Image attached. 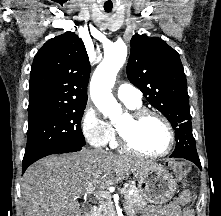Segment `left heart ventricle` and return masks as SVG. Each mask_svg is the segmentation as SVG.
<instances>
[{
  "mask_svg": "<svg viewBox=\"0 0 221 216\" xmlns=\"http://www.w3.org/2000/svg\"><path fill=\"white\" fill-rule=\"evenodd\" d=\"M118 124H122L129 133L133 143L147 153H159L168 146L169 135L167 129L155 117H147L137 126L130 127L124 115L119 119Z\"/></svg>",
  "mask_w": 221,
  "mask_h": 216,
  "instance_id": "obj_1",
  "label": "left heart ventricle"
}]
</instances>
